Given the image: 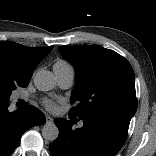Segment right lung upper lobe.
I'll use <instances>...</instances> for the list:
<instances>
[{
    "label": "right lung upper lobe",
    "mask_w": 156,
    "mask_h": 156,
    "mask_svg": "<svg viewBox=\"0 0 156 156\" xmlns=\"http://www.w3.org/2000/svg\"><path fill=\"white\" fill-rule=\"evenodd\" d=\"M52 48H29L15 42L0 41V80L28 85L34 68Z\"/></svg>",
    "instance_id": "cb5924a9"
}]
</instances>
